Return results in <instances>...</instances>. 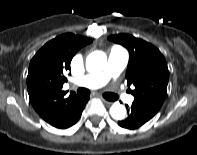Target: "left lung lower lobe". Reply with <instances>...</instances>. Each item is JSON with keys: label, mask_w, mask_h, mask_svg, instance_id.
Returning a JSON list of instances; mask_svg holds the SVG:
<instances>
[{"label": "left lung lower lobe", "mask_w": 197, "mask_h": 155, "mask_svg": "<svg viewBox=\"0 0 197 155\" xmlns=\"http://www.w3.org/2000/svg\"><path fill=\"white\" fill-rule=\"evenodd\" d=\"M126 107L128 110V117L118 122V125L123 128L136 129L153 117L134 104H132L130 108L128 105H126Z\"/></svg>", "instance_id": "left-lung-lower-lobe-1"}]
</instances>
